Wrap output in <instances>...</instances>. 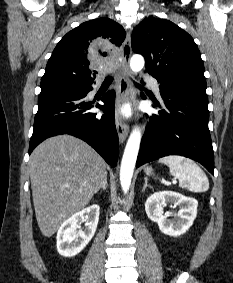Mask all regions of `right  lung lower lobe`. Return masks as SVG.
<instances>
[{
  "instance_id": "right-lung-lower-lobe-1",
  "label": "right lung lower lobe",
  "mask_w": 233,
  "mask_h": 283,
  "mask_svg": "<svg viewBox=\"0 0 233 283\" xmlns=\"http://www.w3.org/2000/svg\"><path fill=\"white\" fill-rule=\"evenodd\" d=\"M88 86L83 90L49 88L41 90L38 97V111L30 140L29 154L43 140L56 135L76 136L91 145L111 166H116L119 140L115 127V92L102 97L105 109L103 115L90 113L92 102L86 100Z\"/></svg>"
}]
</instances>
